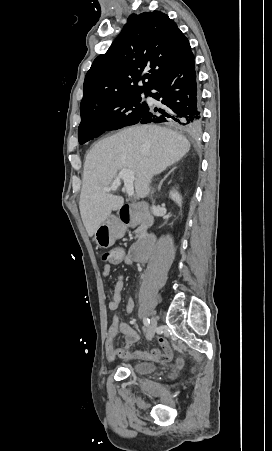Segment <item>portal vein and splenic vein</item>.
I'll list each match as a JSON object with an SVG mask.
<instances>
[{"instance_id": "portal-vein-and-splenic-vein-1", "label": "portal vein and splenic vein", "mask_w": 272, "mask_h": 451, "mask_svg": "<svg viewBox=\"0 0 272 451\" xmlns=\"http://www.w3.org/2000/svg\"><path fill=\"white\" fill-rule=\"evenodd\" d=\"M121 180H123L124 182L128 196H133V182L135 178L134 172H132V170H121L117 178H115L113 184H111V188H103L104 192H111V190L112 192H114V190H117L118 186H120L121 184Z\"/></svg>"}]
</instances>
